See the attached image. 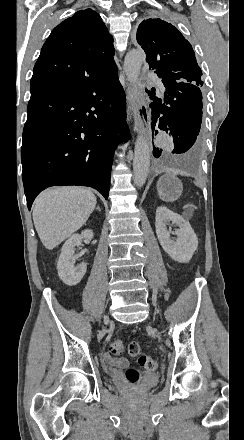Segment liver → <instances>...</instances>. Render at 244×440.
<instances>
[{
	"mask_svg": "<svg viewBox=\"0 0 244 440\" xmlns=\"http://www.w3.org/2000/svg\"><path fill=\"white\" fill-rule=\"evenodd\" d=\"M96 204L94 194L86 188L63 186L41 192L34 202L33 222L43 246L53 250L77 232Z\"/></svg>",
	"mask_w": 244,
	"mask_h": 440,
	"instance_id": "6515ba94",
	"label": "liver"
}]
</instances>
